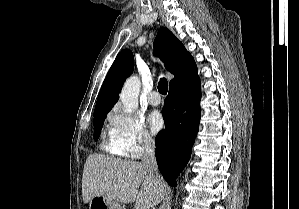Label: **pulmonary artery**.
<instances>
[{"label": "pulmonary artery", "mask_w": 299, "mask_h": 209, "mask_svg": "<svg viewBox=\"0 0 299 209\" xmlns=\"http://www.w3.org/2000/svg\"><path fill=\"white\" fill-rule=\"evenodd\" d=\"M149 104L158 106L161 103V97L157 91H151L147 97Z\"/></svg>", "instance_id": "e3ab8cb5"}]
</instances>
